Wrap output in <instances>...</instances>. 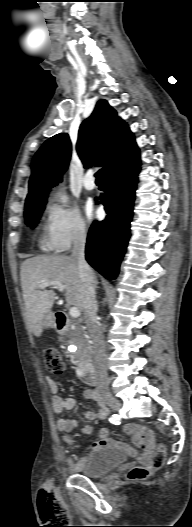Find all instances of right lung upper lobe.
<instances>
[{
  "label": "right lung upper lobe",
  "instance_id": "right-lung-upper-lobe-1",
  "mask_svg": "<svg viewBox=\"0 0 192 527\" xmlns=\"http://www.w3.org/2000/svg\"><path fill=\"white\" fill-rule=\"evenodd\" d=\"M136 147L128 125L106 100H100L80 126L76 149L85 168L100 164L106 173ZM70 157L71 143L66 133L57 134L43 144L32 161L25 207L46 200L49 189L62 181Z\"/></svg>",
  "mask_w": 192,
  "mask_h": 527
}]
</instances>
